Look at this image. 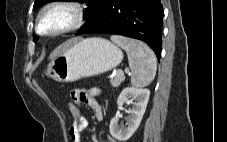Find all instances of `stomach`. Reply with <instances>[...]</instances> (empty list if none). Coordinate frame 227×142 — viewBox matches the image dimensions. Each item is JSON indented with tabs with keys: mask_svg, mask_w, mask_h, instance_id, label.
<instances>
[{
	"mask_svg": "<svg viewBox=\"0 0 227 142\" xmlns=\"http://www.w3.org/2000/svg\"><path fill=\"white\" fill-rule=\"evenodd\" d=\"M123 52L103 38H87L71 44L47 67V76L58 82H74L105 73L120 64Z\"/></svg>",
	"mask_w": 227,
	"mask_h": 142,
	"instance_id": "obj_1",
	"label": "stomach"
}]
</instances>
